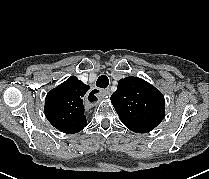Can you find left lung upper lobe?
Returning <instances> with one entry per match:
<instances>
[{
	"mask_svg": "<svg viewBox=\"0 0 209 179\" xmlns=\"http://www.w3.org/2000/svg\"><path fill=\"white\" fill-rule=\"evenodd\" d=\"M111 102L122 123L137 133L149 132L165 116L164 96L145 80L129 76L118 82Z\"/></svg>",
	"mask_w": 209,
	"mask_h": 179,
	"instance_id": "obj_1",
	"label": "left lung upper lobe"
}]
</instances>
